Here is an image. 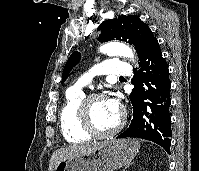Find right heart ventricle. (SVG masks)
Returning a JSON list of instances; mask_svg holds the SVG:
<instances>
[{"label":"right heart ventricle","mask_w":199,"mask_h":171,"mask_svg":"<svg viewBox=\"0 0 199 171\" xmlns=\"http://www.w3.org/2000/svg\"><path fill=\"white\" fill-rule=\"evenodd\" d=\"M81 89L69 88L59 111V125L64 139L72 144H82L91 136L82 127L79 106L84 98Z\"/></svg>","instance_id":"obj_1"}]
</instances>
